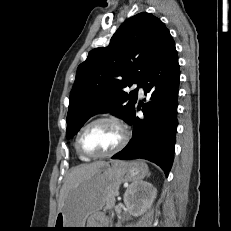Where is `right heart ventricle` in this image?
Listing matches in <instances>:
<instances>
[{
  "label": "right heart ventricle",
  "mask_w": 231,
  "mask_h": 231,
  "mask_svg": "<svg viewBox=\"0 0 231 231\" xmlns=\"http://www.w3.org/2000/svg\"><path fill=\"white\" fill-rule=\"evenodd\" d=\"M74 146H75V145H74ZM75 149H76V147H75ZM76 152H77V150H76ZM77 155H78L79 159L82 160V161H87V160H89V159H87V158H85V157H82L78 152H77Z\"/></svg>",
  "instance_id": "obj_1"
}]
</instances>
